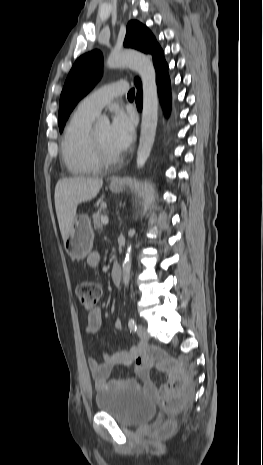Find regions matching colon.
Returning <instances> with one entry per match:
<instances>
[{
	"instance_id": "1",
	"label": "colon",
	"mask_w": 263,
	"mask_h": 465,
	"mask_svg": "<svg viewBox=\"0 0 263 465\" xmlns=\"http://www.w3.org/2000/svg\"><path fill=\"white\" fill-rule=\"evenodd\" d=\"M76 294L80 304L86 310H93L101 296L100 287L92 282H82L76 288ZM164 398L161 401L162 407L171 415L176 414L186 401L184 394V384L181 380L176 379L166 385ZM175 427L174 421L170 420L163 424L161 430L164 433L172 431Z\"/></svg>"
}]
</instances>
